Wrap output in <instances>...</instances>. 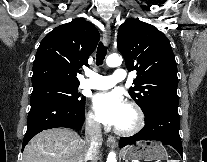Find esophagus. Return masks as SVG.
Segmentation results:
<instances>
[{"label":"esophagus","instance_id":"esophagus-1","mask_svg":"<svg viewBox=\"0 0 207 162\" xmlns=\"http://www.w3.org/2000/svg\"><path fill=\"white\" fill-rule=\"evenodd\" d=\"M110 39H111V29H110V23L108 22L106 24V27H105V33L103 35V42L105 45H108L109 42H110ZM107 144L110 148H115L116 147V139L112 136H109L108 139H107Z\"/></svg>","mask_w":207,"mask_h":162}]
</instances>
